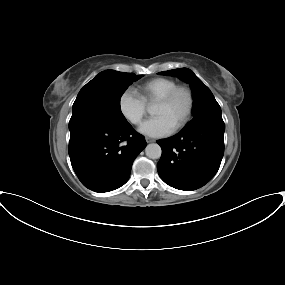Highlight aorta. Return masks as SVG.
<instances>
[{
	"instance_id": "aorta-1",
	"label": "aorta",
	"mask_w": 285,
	"mask_h": 285,
	"mask_svg": "<svg viewBox=\"0 0 285 285\" xmlns=\"http://www.w3.org/2000/svg\"><path fill=\"white\" fill-rule=\"evenodd\" d=\"M148 111L150 113L152 112L150 109ZM145 153H146V156L149 157L150 159H158L161 157L162 150L158 144L152 143L146 146Z\"/></svg>"
}]
</instances>
